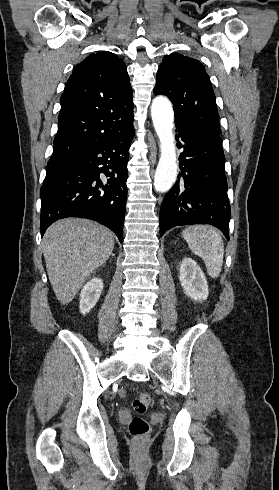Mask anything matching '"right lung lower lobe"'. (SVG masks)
I'll use <instances>...</instances> for the list:
<instances>
[{
  "label": "right lung lower lobe",
  "mask_w": 279,
  "mask_h": 490,
  "mask_svg": "<svg viewBox=\"0 0 279 490\" xmlns=\"http://www.w3.org/2000/svg\"><path fill=\"white\" fill-rule=\"evenodd\" d=\"M134 128L56 163L40 189L41 236L55 221L88 218L110 228L122 242L129 147ZM110 170V171H109ZM104 173L108 179H100Z\"/></svg>",
  "instance_id": "98d812e1"
}]
</instances>
